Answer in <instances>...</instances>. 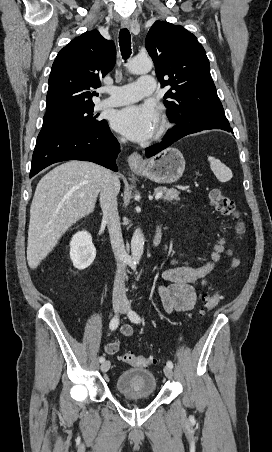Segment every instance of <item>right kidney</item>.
Here are the masks:
<instances>
[{
	"label": "right kidney",
	"mask_w": 272,
	"mask_h": 452,
	"mask_svg": "<svg viewBox=\"0 0 272 452\" xmlns=\"http://www.w3.org/2000/svg\"><path fill=\"white\" fill-rule=\"evenodd\" d=\"M96 257V248L92 236L87 231L77 232L70 241V258L75 268L89 267Z\"/></svg>",
	"instance_id": "ca27d5eb"
}]
</instances>
